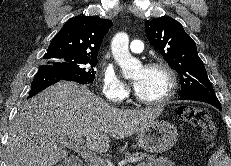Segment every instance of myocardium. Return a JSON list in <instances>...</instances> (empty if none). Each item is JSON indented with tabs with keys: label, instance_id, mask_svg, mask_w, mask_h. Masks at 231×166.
<instances>
[{
	"label": "myocardium",
	"instance_id": "1",
	"mask_svg": "<svg viewBox=\"0 0 231 166\" xmlns=\"http://www.w3.org/2000/svg\"><path fill=\"white\" fill-rule=\"evenodd\" d=\"M145 69H160L165 72L169 79V87L166 93L156 100H146L141 98L137 93L135 97L139 103L145 106H162L169 102L175 95L178 87V77L175 70L165 61L157 60L146 64Z\"/></svg>",
	"mask_w": 231,
	"mask_h": 166
}]
</instances>
